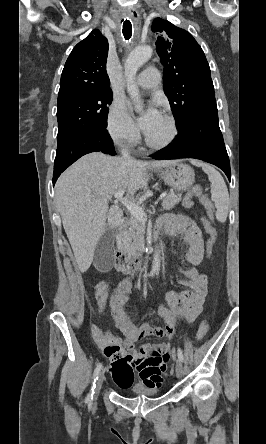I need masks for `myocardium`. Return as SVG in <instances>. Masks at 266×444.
Listing matches in <instances>:
<instances>
[{"label": "myocardium", "instance_id": "1", "mask_svg": "<svg viewBox=\"0 0 266 444\" xmlns=\"http://www.w3.org/2000/svg\"><path fill=\"white\" fill-rule=\"evenodd\" d=\"M163 116L168 120L170 127H171L170 135L168 136V138L164 142L155 143L147 136L146 132L144 133V140H145L146 145L149 148L154 149V150H161V149H165V148L169 147L175 141V139L178 135V125H177V121L174 118V116L169 113H164Z\"/></svg>", "mask_w": 266, "mask_h": 444}]
</instances>
